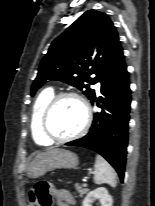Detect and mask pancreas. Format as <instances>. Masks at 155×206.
Returning <instances> with one entry per match:
<instances>
[{
	"mask_svg": "<svg viewBox=\"0 0 155 206\" xmlns=\"http://www.w3.org/2000/svg\"><path fill=\"white\" fill-rule=\"evenodd\" d=\"M75 189L80 194V196H83L84 194H86L88 192V189L83 188L78 183L75 184Z\"/></svg>",
	"mask_w": 155,
	"mask_h": 206,
	"instance_id": "obj_1",
	"label": "pancreas"
}]
</instances>
